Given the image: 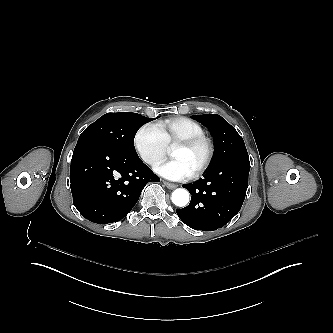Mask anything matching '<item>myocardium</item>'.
Listing matches in <instances>:
<instances>
[{
	"label": "myocardium",
	"mask_w": 333,
	"mask_h": 333,
	"mask_svg": "<svg viewBox=\"0 0 333 333\" xmlns=\"http://www.w3.org/2000/svg\"><path fill=\"white\" fill-rule=\"evenodd\" d=\"M179 145L189 149L201 148L204 150L203 158L198 167L196 168L193 177L196 178L202 175L206 171V169L210 166L214 157L215 149L211 140L205 136L193 137L181 141Z\"/></svg>",
	"instance_id": "obj_1"
}]
</instances>
